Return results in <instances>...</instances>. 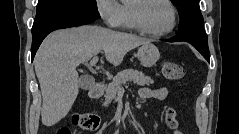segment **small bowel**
<instances>
[{
	"mask_svg": "<svg viewBox=\"0 0 239 134\" xmlns=\"http://www.w3.org/2000/svg\"><path fill=\"white\" fill-rule=\"evenodd\" d=\"M168 96V90L165 87L160 88H142L139 91V97L141 99H157V100H165ZM174 134H181L180 131H174Z\"/></svg>",
	"mask_w": 239,
	"mask_h": 134,
	"instance_id": "1",
	"label": "small bowel"
}]
</instances>
